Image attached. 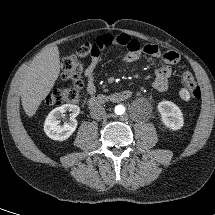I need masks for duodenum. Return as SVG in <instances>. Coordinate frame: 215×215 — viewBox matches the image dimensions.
I'll list each match as a JSON object with an SVG mask.
<instances>
[{
	"label": "duodenum",
	"instance_id": "obj_1",
	"mask_svg": "<svg viewBox=\"0 0 215 215\" xmlns=\"http://www.w3.org/2000/svg\"><path fill=\"white\" fill-rule=\"evenodd\" d=\"M131 97L130 90H122L118 92H114L110 95H92L87 99V105L89 107H97L109 102L112 103H120L128 100Z\"/></svg>",
	"mask_w": 215,
	"mask_h": 215
}]
</instances>
